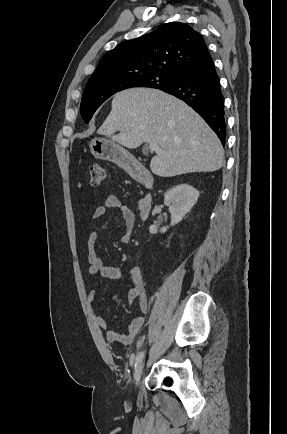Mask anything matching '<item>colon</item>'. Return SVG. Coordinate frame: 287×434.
Segmentation results:
<instances>
[{"instance_id":"1","label":"colon","mask_w":287,"mask_h":434,"mask_svg":"<svg viewBox=\"0 0 287 434\" xmlns=\"http://www.w3.org/2000/svg\"><path fill=\"white\" fill-rule=\"evenodd\" d=\"M106 168L102 165L94 164L90 167V182L92 185H99L106 178Z\"/></svg>"}]
</instances>
